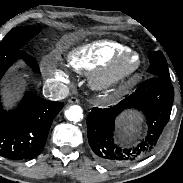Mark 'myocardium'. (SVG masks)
I'll list each match as a JSON object with an SVG mask.
<instances>
[{"mask_svg":"<svg viewBox=\"0 0 183 183\" xmlns=\"http://www.w3.org/2000/svg\"><path fill=\"white\" fill-rule=\"evenodd\" d=\"M129 56L137 58L134 67L122 70V62ZM141 55L133 50H125L114 55L104 66L95 70L89 78L90 87L96 92H107L132 80L141 70Z\"/></svg>","mask_w":183,"mask_h":183,"instance_id":"f54148a6","label":"myocardium"}]
</instances>
